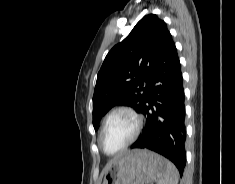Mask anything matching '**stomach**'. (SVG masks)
<instances>
[{
  "label": "stomach",
  "mask_w": 235,
  "mask_h": 184,
  "mask_svg": "<svg viewBox=\"0 0 235 184\" xmlns=\"http://www.w3.org/2000/svg\"><path fill=\"white\" fill-rule=\"evenodd\" d=\"M165 158L149 150H131L109 164L103 184H153L163 178Z\"/></svg>",
  "instance_id": "0dacf381"
}]
</instances>
